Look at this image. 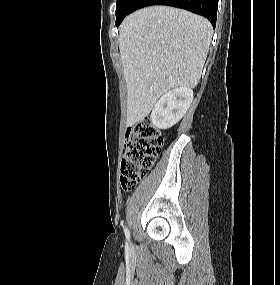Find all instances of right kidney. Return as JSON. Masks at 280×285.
Masks as SVG:
<instances>
[{
	"mask_svg": "<svg viewBox=\"0 0 280 285\" xmlns=\"http://www.w3.org/2000/svg\"><path fill=\"white\" fill-rule=\"evenodd\" d=\"M193 101L190 87H178L165 93L155 104L151 121L159 129L174 126L187 112Z\"/></svg>",
	"mask_w": 280,
	"mask_h": 285,
	"instance_id": "obj_1",
	"label": "right kidney"
}]
</instances>
